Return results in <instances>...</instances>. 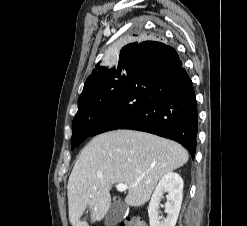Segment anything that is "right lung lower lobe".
Segmentation results:
<instances>
[{
  "label": "right lung lower lobe",
  "mask_w": 247,
  "mask_h": 226,
  "mask_svg": "<svg viewBox=\"0 0 247 226\" xmlns=\"http://www.w3.org/2000/svg\"><path fill=\"white\" fill-rule=\"evenodd\" d=\"M197 128L195 92L176 50L147 40L136 46L120 92L91 136L145 131L179 142L194 158Z\"/></svg>",
  "instance_id": "right-lung-lower-lobe-1"
}]
</instances>
